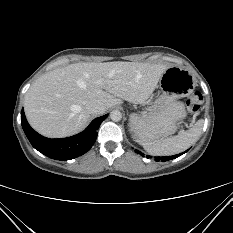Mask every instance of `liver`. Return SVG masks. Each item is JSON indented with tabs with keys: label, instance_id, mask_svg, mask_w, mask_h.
Wrapping results in <instances>:
<instances>
[{
	"label": "liver",
	"instance_id": "1",
	"mask_svg": "<svg viewBox=\"0 0 233 233\" xmlns=\"http://www.w3.org/2000/svg\"><path fill=\"white\" fill-rule=\"evenodd\" d=\"M165 64L139 62L75 63L39 77L25 95L29 124L40 134L62 138L82 131L90 120L86 104L107 109L126 100L144 103L157 87Z\"/></svg>",
	"mask_w": 233,
	"mask_h": 233
}]
</instances>
